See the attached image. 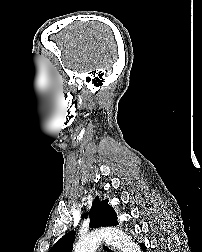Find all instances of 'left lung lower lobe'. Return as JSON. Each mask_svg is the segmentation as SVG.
Masks as SVG:
<instances>
[{"instance_id": "left-lung-lower-lobe-1", "label": "left lung lower lobe", "mask_w": 202, "mask_h": 252, "mask_svg": "<svg viewBox=\"0 0 202 252\" xmlns=\"http://www.w3.org/2000/svg\"><path fill=\"white\" fill-rule=\"evenodd\" d=\"M140 245H141V248L143 249V252H146V246L143 243H141Z\"/></svg>"}]
</instances>
